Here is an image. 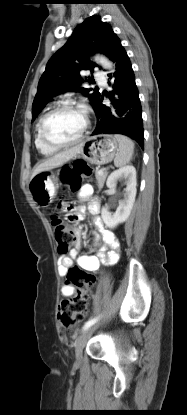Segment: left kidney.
<instances>
[{"instance_id":"obj_1","label":"left kidney","mask_w":187,"mask_h":415,"mask_svg":"<svg viewBox=\"0 0 187 415\" xmlns=\"http://www.w3.org/2000/svg\"><path fill=\"white\" fill-rule=\"evenodd\" d=\"M119 180L125 182L126 188L124 189V198L119 201L116 212L112 214L109 212L107 206L103 207L101 210V217L105 225L111 229L115 228L118 224L125 222L131 213L137 191L136 169L133 166L128 165L113 171L109 175L106 185L109 189L114 190Z\"/></svg>"}]
</instances>
